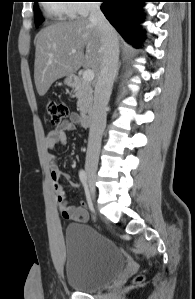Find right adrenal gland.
Masks as SVG:
<instances>
[{
    "label": "right adrenal gland",
    "instance_id": "right-adrenal-gland-1",
    "mask_svg": "<svg viewBox=\"0 0 195 299\" xmlns=\"http://www.w3.org/2000/svg\"><path fill=\"white\" fill-rule=\"evenodd\" d=\"M119 68H120V64H119V66H118V70H119ZM117 76H118V71H117Z\"/></svg>",
    "mask_w": 195,
    "mask_h": 299
}]
</instances>
